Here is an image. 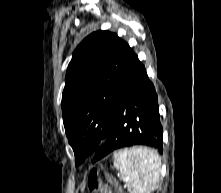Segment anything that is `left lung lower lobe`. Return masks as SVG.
<instances>
[{
  "label": "left lung lower lobe",
  "instance_id": "1",
  "mask_svg": "<svg viewBox=\"0 0 221 193\" xmlns=\"http://www.w3.org/2000/svg\"><path fill=\"white\" fill-rule=\"evenodd\" d=\"M146 145L163 152L158 98L143 64L135 56L119 88L114 124L93 163L123 147Z\"/></svg>",
  "mask_w": 221,
  "mask_h": 193
}]
</instances>
